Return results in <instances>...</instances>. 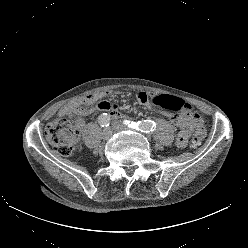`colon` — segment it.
I'll return each instance as SVG.
<instances>
[{
  "mask_svg": "<svg viewBox=\"0 0 248 248\" xmlns=\"http://www.w3.org/2000/svg\"><path fill=\"white\" fill-rule=\"evenodd\" d=\"M151 103L155 107L162 108L168 111H180L189 109L185 102L171 95H157L151 97ZM87 105L82 107V111L87 109ZM45 136L49 144L61 156H69L75 149L79 137L78 125L67 118H58L51 121L46 129ZM205 137V129L203 123H199L194 129L192 138V146L198 147L201 145Z\"/></svg>",
  "mask_w": 248,
  "mask_h": 248,
  "instance_id": "colon-1",
  "label": "colon"
}]
</instances>
